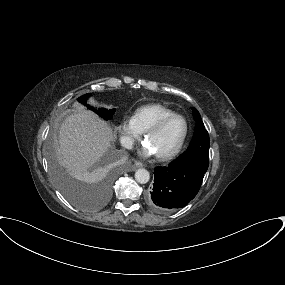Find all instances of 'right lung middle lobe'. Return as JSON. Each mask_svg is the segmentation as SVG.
<instances>
[{
  "mask_svg": "<svg viewBox=\"0 0 285 285\" xmlns=\"http://www.w3.org/2000/svg\"><path fill=\"white\" fill-rule=\"evenodd\" d=\"M89 96H90L89 94H85L79 97L78 101L86 105V101L89 98ZM87 107L93 110L94 112H96L98 115H100L105 120L111 118L113 114L115 113V109H109V110L105 108L94 109L93 107L89 105H87ZM50 161H51V166H52V170L54 172L56 181L61 191L63 192V194L66 196V198L69 199L73 204L81 208H91L92 205L88 203L87 200L84 199V197L78 191L74 183H72L71 180H69L65 175H63L60 169L57 167L54 161L52 150L50 152ZM109 184H110V178L104 179L103 186H104L106 193L108 192Z\"/></svg>",
  "mask_w": 285,
  "mask_h": 285,
  "instance_id": "1",
  "label": "right lung middle lobe"
}]
</instances>
